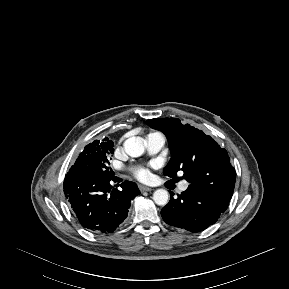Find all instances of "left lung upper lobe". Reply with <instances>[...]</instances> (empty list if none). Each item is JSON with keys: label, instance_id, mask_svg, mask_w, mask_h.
Wrapping results in <instances>:
<instances>
[{"label": "left lung upper lobe", "instance_id": "1", "mask_svg": "<svg viewBox=\"0 0 289 289\" xmlns=\"http://www.w3.org/2000/svg\"><path fill=\"white\" fill-rule=\"evenodd\" d=\"M146 123L168 139L172 156L164 175L174 178L182 170L190 183L188 188L230 201L236 172L225 149L203 131L183 125L177 118H156Z\"/></svg>", "mask_w": 289, "mask_h": 289}]
</instances>
